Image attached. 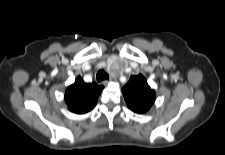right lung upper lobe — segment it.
Here are the masks:
<instances>
[{
	"mask_svg": "<svg viewBox=\"0 0 225 155\" xmlns=\"http://www.w3.org/2000/svg\"><path fill=\"white\" fill-rule=\"evenodd\" d=\"M102 89V85H97L95 82L87 84L78 76L75 82L66 89L65 102L71 112L87 113L95 107Z\"/></svg>",
	"mask_w": 225,
	"mask_h": 155,
	"instance_id": "obj_1",
	"label": "right lung upper lobe"
}]
</instances>
